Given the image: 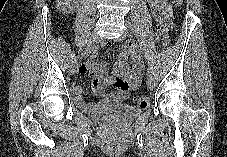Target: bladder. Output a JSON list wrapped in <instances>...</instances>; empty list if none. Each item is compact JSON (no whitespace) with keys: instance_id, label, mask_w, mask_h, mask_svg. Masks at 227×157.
Returning <instances> with one entry per match:
<instances>
[{"instance_id":"31cf9c89","label":"bladder","mask_w":227,"mask_h":157,"mask_svg":"<svg viewBox=\"0 0 227 157\" xmlns=\"http://www.w3.org/2000/svg\"><path fill=\"white\" fill-rule=\"evenodd\" d=\"M142 109L128 104H110L92 112V118L108 124H126L142 114Z\"/></svg>"}]
</instances>
